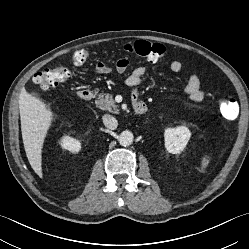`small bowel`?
I'll list each match as a JSON object with an SVG mask.
<instances>
[{"label": "small bowel", "instance_id": "1", "mask_svg": "<svg viewBox=\"0 0 249 249\" xmlns=\"http://www.w3.org/2000/svg\"><path fill=\"white\" fill-rule=\"evenodd\" d=\"M128 65L129 61L127 59H119L116 64L117 72L124 73L128 68ZM170 69L173 73H179L182 69V63L178 60H175L171 62ZM110 70L111 68L107 64L100 62L96 65L94 73L102 75L107 74L108 72H110ZM144 73L145 69L143 67H137L132 71V73L128 76L126 80L127 84L133 89L132 95L134 100L138 99V85L140 84ZM184 92L187 94L188 98L193 102H199L203 100L205 92L201 88L200 79L197 75L192 74L189 77V80L184 88Z\"/></svg>", "mask_w": 249, "mask_h": 249}]
</instances>
